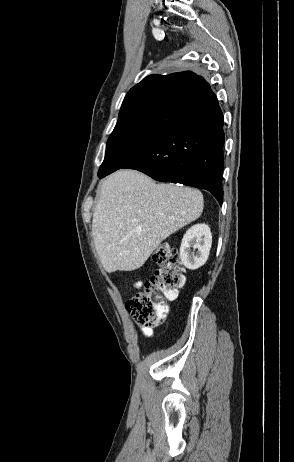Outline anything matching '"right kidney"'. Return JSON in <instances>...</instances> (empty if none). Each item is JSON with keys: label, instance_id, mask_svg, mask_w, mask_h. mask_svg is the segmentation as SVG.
Wrapping results in <instances>:
<instances>
[{"label": "right kidney", "instance_id": "obj_1", "mask_svg": "<svg viewBox=\"0 0 294 462\" xmlns=\"http://www.w3.org/2000/svg\"><path fill=\"white\" fill-rule=\"evenodd\" d=\"M212 235L208 225L196 224L184 234L180 246V258L183 265L190 270L203 266L209 256ZM197 249L196 254L191 251Z\"/></svg>", "mask_w": 294, "mask_h": 462}]
</instances>
